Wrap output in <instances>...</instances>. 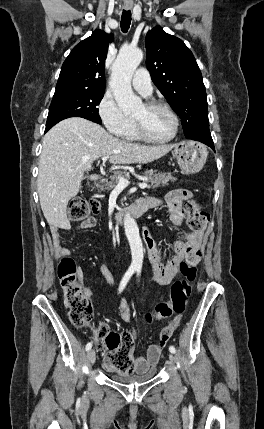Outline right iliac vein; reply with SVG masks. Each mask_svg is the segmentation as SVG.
I'll list each match as a JSON object with an SVG mask.
<instances>
[{"mask_svg": "<svg viewBox=\"0 0 264 429\" xmlns=\"http://www.w3.org/2000/svg\"><path fill=\"white\" fill-rule=\"evenodd\" d=\"M87 359H88V362L91 365H93L95 363L96 353H95V351L93 349H91V350L88 351V353H87Z\"/></svg>", "mask_w": 264, "mask_h": 429, "instance_id": "63e3f726", "label": "right iliac vein"}]
</instances>
